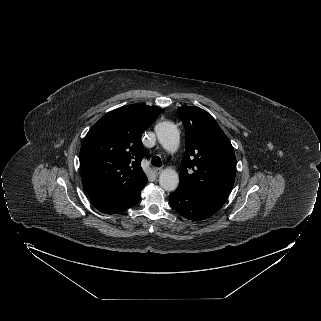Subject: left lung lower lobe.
<instances>
[{
  "label": "left lung lower lobe",
  "instance_id": "obj_1",
  "mask_svg": "<svg viewBox=\"0 0 321 321\" xmlns=\"http://www.w3.org/2000/svg\"><path fill=\"white\" fill-rule=\"evenodd\" d=\"M226 198L192 192L177 188L169 196L171 207L185 218L193 221L204 220L215 214L225 203Z\"/></svg>",
  "mask_w": 321,
  "mask_h": 321
}]
</instances>
